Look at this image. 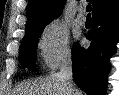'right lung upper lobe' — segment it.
Returning <instances> with one entry per match:
<instances>
[{
	"label": "right lung upper lobe",
	"instance_id": "1",
	"mask_svg": "<svg viewBox=\"0 0 119 95\" xmlns=\"http://www.w3.org/2000/svg\"><path fill=\"white\" fill-rule=\"evenodd\" d=\"M93 6L92 17L119 5V0H89ZM65 0H29L26 32L48 24L61 14Z\"/></svg>",
	"mask_w": 119,
	"mask_h": 95
}]
</instances>
